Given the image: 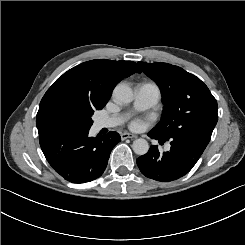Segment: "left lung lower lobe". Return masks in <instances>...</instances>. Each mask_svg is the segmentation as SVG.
Returning a JSON list of instances; mask_svg holds the SVG:
<instances>
[{
    "mask_svg": "<svg viewBox=\"0 0 245 245\" xmlns=\"http://www.w3.org/2000/svg\"><path fill=\"white\" fill-rule=\"evenodd\" d=\"M149 137L159 140L162 144L170 141L171 149L161 154L157 146H152L136 162L141 173L153 180L170 182L186 175L196 164L207 146L206 141H200L187 136H177L166 139L151 130Z\"/></svg>",
    "mask_w": 245,
    "mask_h": 245,
    "instance_id": "obj_1",
    "label": "left lung lower lobe"
}]
</instances>
